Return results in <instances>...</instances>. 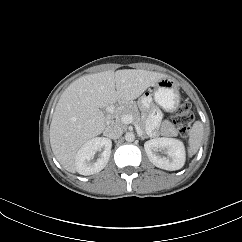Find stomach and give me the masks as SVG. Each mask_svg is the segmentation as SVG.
I'll use <instances>...</instances> for the list:
<instances>
[{
	"label": "stomach",
	"mask_w": 242,
	"mask_h": 242,
	"mask_svg": "<svg viewBox=\"0 0 242 242\" xmlns=\"http://www.w3.org/2000/svg\"><path fill=\"white\" fill-rule=\"evenodd\" d=\"M154 99L166 111L175 110L180 101L178 85L170 78H163L155 84Z\"/></svg>",
	"instance_id": "0dacf381"
}]
</instances>
